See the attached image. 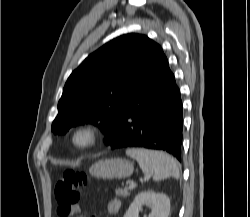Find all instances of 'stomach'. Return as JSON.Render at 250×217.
I'll use <instances>...</instances> for the list:
<instances>
[{
	"label": "stomach",
	"instance_id": "1",
	"mask_svg": "<svg viewBox=\"0 0 250 217\" xmlns=\"http://www.w3.org/2000/svg\"><path fill=\"white\" fill-rule=\"evenodd\" d=\"M133 171V164L122 158L100 160L89 168L92 176L101 179H123L131 176Z\"/></svg>",
	"mask_w": 250,
	"mask_h": 217
}]
</instances>
